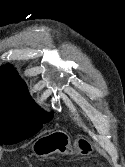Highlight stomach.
<instances>
[{
	"label": "stomach",
	"instance_id": "0dacf381",
	"mask_svg": "<svg viewBox=\"0 0 125 167\" xmlns=\"http://www.w3.org/2000/svg\"><path fill=\"white\" fill-rule=\"evenodd\" d=\"M57 134L63 133H54L46 136L34 145L33 152L38 157H46L52 153L58 152L61 154H83L87 151L84 149V143L82 141H76L74 145H71L70 139L67 135L64 134L62 139L55 141H47L50 137L56 136Z\"/></svg>",
	"mask_w": 125,
	"mask_h": 167
}]
</instances>
